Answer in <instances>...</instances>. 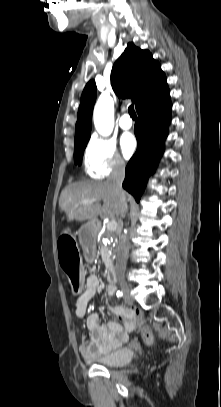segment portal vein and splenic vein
<instances>
[{"instance_id":"1","label":"portal vein and splenic vein","mask_w":221,"mask_h":407,"mask_svg":"<svg viewBox=\"0 0 221 407\" xmlns=\"http://www.w3.org/2000/svg\"><path fill=\"white\" fill-rule=\"evenodd\" d=\"M93 200H82L80 203H78L76 206H79L81 204H93ZM117 222L116 220L112 219L108 222L107 224V230L109 231H115L117 229Z\"/></svg>"}]
</instances>
